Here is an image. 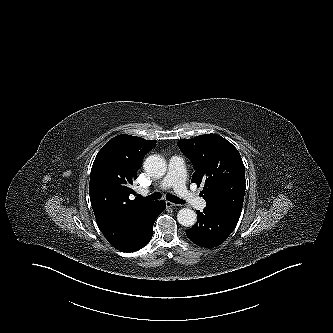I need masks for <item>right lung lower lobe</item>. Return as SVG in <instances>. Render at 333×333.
Wrapping results in <instances>:
<instances>
[{
    "label": "right lung lower lobe",
    "instance_id": "98d812e1",
    "mask_svg": "<svg viewBox=\"0 0 333 333\" xmlns=\"http://www.w3.org/2000/svg\"><path fill=\"white\" fill-rule=\"evenodd\" d=\"M165 208L166 204L164 201H156L152 214L138 225L130 240L120 247L119 250L129 253L137 251L147 245L153 236V224L158 215L162 213Z\"/></svg>",
    "mask_w": 333,
    "mask_h": 333
}]
</instances>
